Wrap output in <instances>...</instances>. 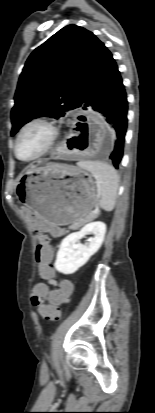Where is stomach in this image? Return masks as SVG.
<instances>
[{
    "label": "stomach",
    "mask_w": 155,
    "mask_h": 413,
    "mask_svg": "<svg viewBox=\"0 0 155 413\" xmlns=\"http://www.w3.org/2000/svg\"><path fill=\"white\" fill-rule=\"evenodd\" d=\"M16 195L34 214L60 226L85 220L99 200L88 172L62 164L28 166L18 178Z\"/></svg>",
    "instance_id": "0dacf381"
}]
</instances>
